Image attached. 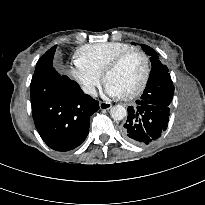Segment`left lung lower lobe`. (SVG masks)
Masks as SVG:
<instances>
[{"mask_svg":"<svg viewBox=\"0 0 205 205\" xmlns=\"http://www.w3.org/2000/svg\"><path fill=\"white\" fill-rule=\"evenodd\" d=\"M169 116V105L139 99L135 106L128 107V117L121 133L132 143L151 144L166 130Z\"/></svg>","mask_w":205,"mask_h":205,"instance_id":"0a47b994","label":"left lung lower lobe"}]
</instances>
